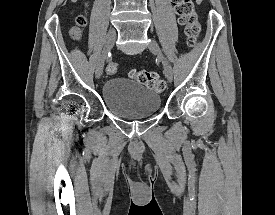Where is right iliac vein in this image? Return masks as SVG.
Listing matches in <instances>:
<instances>
[{
    "instance_id": "63e3f726",
    "label": "right iliac vein",
    "mask_w": 275,
    "mask_h": 215,
    "mask_svg": "<svg viewBox=\"0 0 275 215\" xmlns=\"http://www.w3.org/2000/svg\"><path fill=\"white\" fill-rule=\"evenodd\" d=\"M115 40H116V32L111 30L106 37L104 50L97 62L96 78H100V76L102 75L103 69H104V62H105L107 53H108V51H110L113 48Z\"/></svg>"
}]
</instances>
